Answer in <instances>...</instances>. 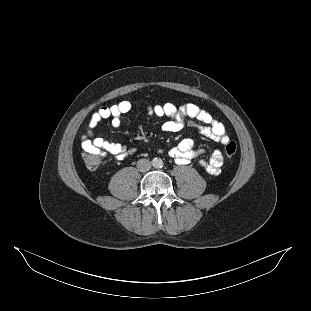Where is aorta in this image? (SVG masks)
Returning <instances> with one entry per match:
<instances>
[{
    "instance_id": "aorta-1",
    "label": "aorta",
    "mask_w": 311,
    "mask_h": 311,
    "mask_svg": "<svg viewBox=\"0 0 311 311\" xmlns=\"http://www.w3.org/2000/svg\"><path fill=\"white\" fill-rule=\"evenodd\" d=\"M152 165H153V167H155V168H160V167L163 166V161H162L161 159H159V158H154V159L152 160Z\"/></svg>"
}]
</instances>
